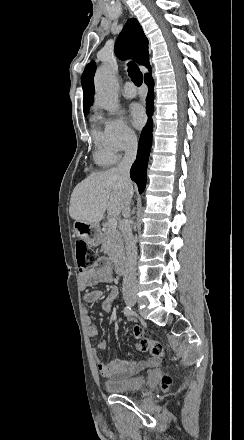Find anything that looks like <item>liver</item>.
Masks as SVG:
<instances>
[{"mask_svg":"<svg viewBox=\"0 0 244 440\" xmlns=\"http://www.w3.org/2000/svg\"><path fill=\"white\" fill-rule=\"evenodd\" d=\"M132 196V182L130 190H126L117 168H111L106 172H93L74 188L69 214L72 220L99 224L106 210L108 216H120L127 198Z\"/></svg>","mask_w":244,"mask_h":440,"instance_id":"6515ba94","label":"liver"}]
</instances>
